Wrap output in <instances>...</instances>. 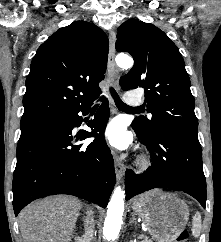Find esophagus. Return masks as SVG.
<instances>
[{
	"instance_id": "1",
	"label": "esophagus",
	"mask_w": 221,
	"mask_h": 242,
	"mask_svg": "<svg viewBox=\"0 0 221 242\" xmlns=\"http://www.w3.org/2000/svg\"><path fill=\"white\" fill-rule=\"evenodd\" d=\"M107 75L108 80L111 85H113L117 90L119 89L118 82V71L115 66V32L114 30L109 31V55H108V66H107ZM111 103L113 104V100L110 95H108ZM115 159V173L118 181H121L124 173H125V165L119 159L117 155L114 157Z\"/></svg>"
}]
</instances>
